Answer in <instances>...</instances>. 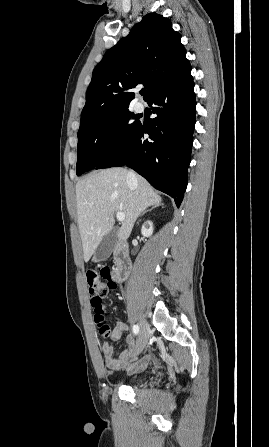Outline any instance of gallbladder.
<instances>
[{
	"instance_id": "gallbladder-1",
	"label": "gallbladder",
	"mask_w": 269,
	"mask_h": 447,
	"mask_svg": "<svg viewBox=\"0 0 269 447\" xmlns=\"http://www.w3.org/2000/svg\"><path fill=\"white\" fill-rule=\"evenodd\" d=\"M117 231L119 227H113L105 237H103L100 245L96 247L93 261H104L109 255H111L116 243H117Z\"/></svg>"
}]
</instances>
